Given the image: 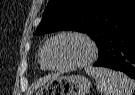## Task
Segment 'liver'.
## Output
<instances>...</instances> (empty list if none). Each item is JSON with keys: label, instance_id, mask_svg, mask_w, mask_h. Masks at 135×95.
Instances as JSON below:
<instances>
[{"label": "liver", "instance_id": "obj_1", "mask_svg": "<svg viewBox=\"0 0 135 95\" xmlns=\"http://www.w3.org/2000/svg\"><path fill=\"white\" fill-rule=\"evenodd\" d=\"M56 77H57L56 75H52V76H48V77L44 78L43 80H41L40 82L37 83V85L35 86V89L45 85L50 79H54Z\"/></svg>", "mask_w": 135, "mask_h": 95}]
</instances>
